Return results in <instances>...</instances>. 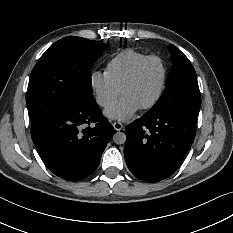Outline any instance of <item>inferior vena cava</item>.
Returning <instances> with one entry per match:
<instances>
[{"instance_id":"obj_1","label":"inferior vena cava","mask_w":233,"mask_h":233,"mask_svg":"<svg viewBox=\"0 0 233 233\" xmlns=\"http://www.w3.org/2000/svg\"><path fill=\"white\" fill-rule=\"evenodd\" d=\"M108 103L106 102L104 106H106Z\"/></svg>"}]
</instances>
